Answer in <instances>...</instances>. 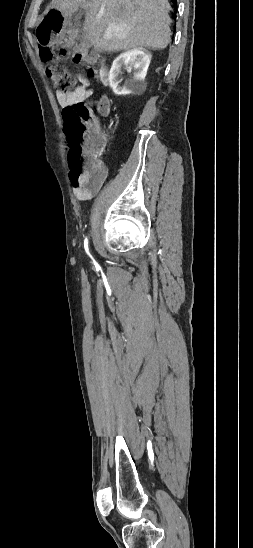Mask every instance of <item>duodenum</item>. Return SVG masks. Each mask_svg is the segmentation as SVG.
I'll list each match as a JSON object with an SVG mask.
<instances>
[{
	"label": "duodenum",
	"mask_w": 253,
	"mask_h": 548,
	"mask_svg": "<svg viewBox=\"0 0 253 548\" xmlns=\"http://www.w3.org/2000/svg\"><path fill=\"white\" fill-rule=\"evenodd\" d=\"M100 77L103 82L107 81V71L104 68L100 70Z\"/></svg>",
	"instance_id": "obj_1"
}]
</instances>
